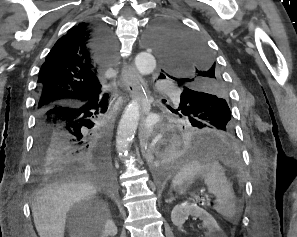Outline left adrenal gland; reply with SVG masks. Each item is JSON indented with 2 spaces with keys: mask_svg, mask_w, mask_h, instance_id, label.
<instances>
[{
  "mask_svg": "<svg viewBox=\"0 0 297 237\" xmlns=\"http://www.w3.org/2000/svg\"><path fill=\"white\" fill-rule=\"evenodd\" d=\"M169 195H170V199L166 200V203H171L173 200H175V198L172 194V191L169 192Z\"/></svg>",
  "mask_w": 297,
  "mask_h": 237,
  "instance_id": "a2214340",
  "label": "left adrenal gland"
}]
</instances>
